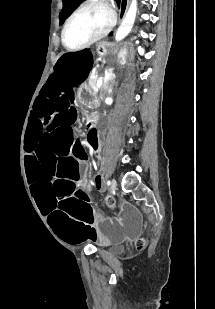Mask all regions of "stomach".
I'll return each mask as SVG.
<instances>
[{
	"label": "stomach",
	"instance_id": "1",
	"mask_svg": "<svg viewBox=\"0 0 215 309\" xmlns=\"http://www.w3.org/2000/svg\"><path fill=\"white\" fill-rule=\"evenodd\" d=\"M118 53V59L121 62H124L126 60L127 56V48L125 46L121 47L120 49H112L111 44L109 42H100L97 45V53L99 56H106L110 52ZM80 95L83 99L86 101L92 102L96 99V92L93 90L90 85H86L81 89Z\"/></svg>",
	"mask_w": 215,
	"mask_h": 309
}]
</instances>
